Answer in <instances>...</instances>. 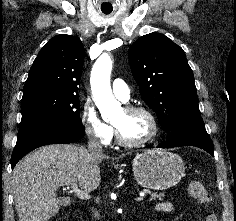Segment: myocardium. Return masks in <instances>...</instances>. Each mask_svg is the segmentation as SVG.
<instances>
[{"label":"myocardium","instance_id":"myocardium-1","mask_svg":"<svg viewBox=\"0 0 236 221\" xmlns=\"http://www.w3.org/2000/svg\"><path fill=\"white\" fill-rule=\"evenodd\" d=\"M124 110L128 113H133V112L144 113L151 122L152 130L151 133L145 139H142L140 141H128L122 137L118 127L116 125H113L117 141L121 146L127 148H139L150 144L157 138L160 132V125L155 113L150 108L143 105H127L124 107Z\"/></svg>","mask_w":236,"mask_h":221}]
</instances>
